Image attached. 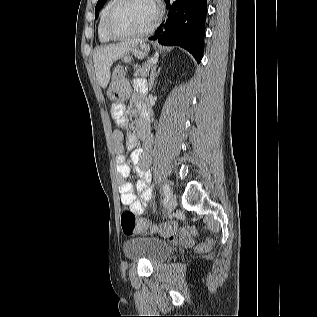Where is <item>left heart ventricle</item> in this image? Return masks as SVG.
I'll list each match as a JSON object with an SVG mask.
<instances>
[{
    "instance_id": "left-heart-ventricle-1",
    "label": "left heart ventricle",
    "mask_w": 317,
    "mask_h": 317,
    "mask_svg": "<svg viewBox=\"0 0 317 317\" xmlns=\"http://www.w3.org/2000/svg\"><path fill=\"white\" fill-rule=\"evenodd\" d=\"M155 14L149 0H125L116 10L112 29L119 34H131L145 29Z\"/></svg>"
}]
</instances>
